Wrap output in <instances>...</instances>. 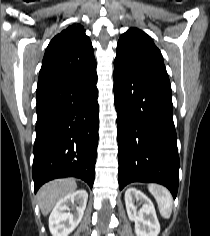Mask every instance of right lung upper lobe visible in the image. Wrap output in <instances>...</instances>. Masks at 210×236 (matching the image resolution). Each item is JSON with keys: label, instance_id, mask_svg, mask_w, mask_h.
<instances>
[{"label": "right lung upper lobe", "instance_id": "cb5924a9", "mask_svg": "<svg viewBox=\"0 0 210 236\" xmlns=\"http://www.w3.org/2000/svg\"><path fill=\"white\" fill-rule=\"evenodd\" d=\"M96 67L91 41L83 26L68 27L49 43L42 62L37 90Z\"/></svg>", "mask_w": 210, "mask_h": 236}]
</instances>
